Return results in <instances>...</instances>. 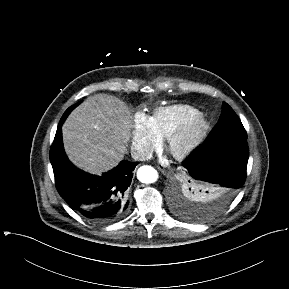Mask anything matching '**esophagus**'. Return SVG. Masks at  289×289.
Wrapping results in <instances>:
<instances>
[{"label": "esophagus", "instance_id": "34e87169", "mask_svg": "<svg viewBox=\"0 0 289 289\" xmlns=\"http://www.w3.org/2000/svg\"><path fill=\"white\" fill-rule=\"evenodd\" d=\"M158 169L161 171L162 174H164V175L168 174V171H167V170L161 169V168H159V167H158Z\"/></svg>", "mask_w": 289, "mask_h": 289}]
</instances>
